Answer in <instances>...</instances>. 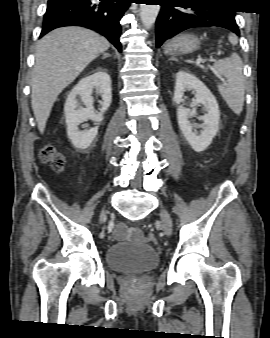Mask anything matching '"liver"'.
I'll return each mask as SVG.
<instances>
[{
  "label": "liver",
  "instance_id": "6515ba94",
  "mask_svg": "<svg viewBox=\"0 0 270 338\" xmlns=\"http://www.w3.org/2000/svg\"><path fill=\"white\" fill-rule=\"evenodd\" d=\"M109 47L106 38L81 27L55 29L39 41L31 78V104L40 133L45 130L58 95Z\"/></svg>",
  "mask_w": 270,
  "mask_h": 338
}]
</instances>
